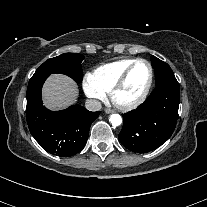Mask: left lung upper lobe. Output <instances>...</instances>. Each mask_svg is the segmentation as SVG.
I'll return each mask as SVG.
<instances>
[{"label":"left lung upper lobe","mask_w":207,"mask_h":207,"mask_svg":"<svg viewBox=\"0 0 207 207\" xmlns=\"http://www.w3.org/2000/svg\"><path fill=\"white\" fill-rule=\"evenodd\" d=\"M151 62L155 70L156 86L167 82L177 81L173 71L167 63L161 61L155 56L151 57Z\"/></svg>","instance_id":"1"}]
</instances>
